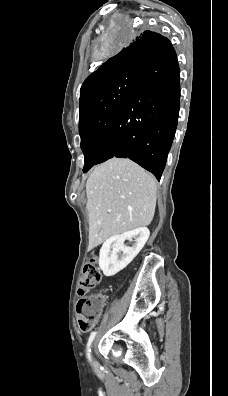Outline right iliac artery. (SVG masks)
I'll return each mask as SVG.
<instances>
[{
    "instance_id": "obj_1",
    "label": "right iliac artery",
    "mask_w": 228,
    "mask_h": 396,
    "mask_svg": "<svg viewBox=\"0 0 228 396\" xmlns=\"http://www.w3.org/2000/svg\"><path fill=\"white\" fill-rule=\"evenodd\" d=\"M95 336H96V332L94 331L91 333V335L88 339V343H87V358L89 359V361H91V354H90L91 348L90 347H91V344H92Z\"/></svg>"
}]
</instances>
